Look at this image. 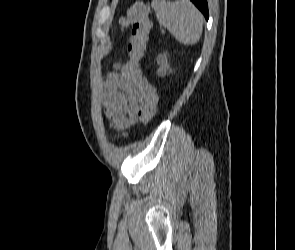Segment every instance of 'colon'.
I'll return each mask as SVG.
<instances>
[{"instance_id": "colon-1", "label": "colon", "mask_w": 295, "mask_h": 250, "mask_svg": "<svg viewBox=\"0 0 295 250\" xmlns=\"http://www.w3.org/2000/svg\"><path fill=\"white\" fill-rule=\"evenodd\" d=\"M122 26H131L129 58L122 68V77L132 82L141 95L142 122H149L156 113L158 97L153 85L144 77L140 62L144 56L151 28L146 7L141 2L133 3L121 19Z\"/></svg>"}]
</instances>
